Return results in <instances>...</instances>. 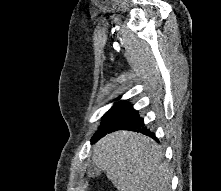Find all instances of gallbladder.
Masks as SVG:
<instances>
[{
	"label": "gallbladder",
	"instance_id": "bac80fb5",
	"mask_svg": "<svg viewBox=\"0 0 221 191\" xmlns=\"http://www.w3.org/2000/svg\"><path fill=\"white\" fill-rule=\"evenodd\" d=\"M101 169L93 162L89 163L87 167V175L89 177H98L101 174Z\"/></svg>",
	"mask_w": 221,
	"mask_h": 191
}]
</instances>
